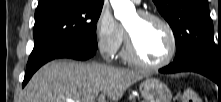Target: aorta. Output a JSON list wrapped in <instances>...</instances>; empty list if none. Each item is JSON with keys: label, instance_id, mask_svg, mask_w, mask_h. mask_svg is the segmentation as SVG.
Segmentation results:
<instances>
[{"label": "aorta", "instance_id": "1", "mask_svg": "<svg viewBox=\"0 0 221 102\" xmlns=\"http://www.w3.org/2000/svg\"><path fill=\"white\" fill-rule=\"evenodd\" d=\"M114 16L121 22L126 21L135 14V7L131 0H110Z\"/></svg>", "mask_w": 221, "mask_h": 102}]
</instances>
